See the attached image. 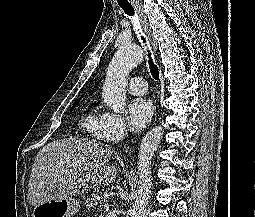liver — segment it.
Segmentation results:
<instances>
[{"instance_id": "liver-1", "label": "liver", "mask_w": 255, "mask_h": 217, "mask_svg": "<svg viewBox=\"0 0 255 217\" xmlns=\"http://www.w3.org/2000/svg\"><path fill=\"white\" fill-rule=\"evenodd\" d=\"M111 147L86 138L51 142L37 154L28 184L31 206L68 199L99 184L109 185L117 170Z\"/></svg>"}]
</instances>
